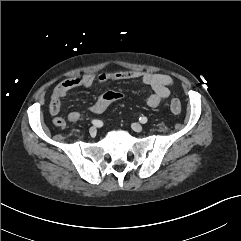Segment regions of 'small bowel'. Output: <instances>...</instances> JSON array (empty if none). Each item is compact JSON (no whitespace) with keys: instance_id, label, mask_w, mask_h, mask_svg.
I'll return each mask as SVG.
<instances>
[{"instance_id":"small-bowel-1","label":"small bowel","mask_w":241,"mask_h":241,"mask_svg":"<svg viewBox=\"0 0 241 241\" xmlns=\"http://www.w3.org/2000/svg\"><path fill=\"white\" fill-rule=\"evenodd\" d=\"M134 79H141L145 85L152 88L153 92L147 98V105L151 108L158 107L170 95V87L173 84V78L170 75L162 73H153L141 70H126L101 74L86 73L73 76L61 81L53 90L49 104V112L53 116L54 125L57 127H64L66 125L65 119L59 116V113L61 111V99L65 97L70 90L79 87L89 88L95 83L103 85L112 81ZM112 102L113 101L103 99L101 96L90 107V111L93 114H101ZM80 118V113L76 111L70 112L67 117L70 123H76L80 120Z\"/></svg>"}]
</instances>
